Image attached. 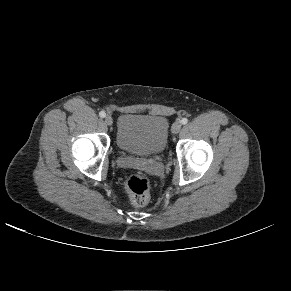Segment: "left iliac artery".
Listing matches in <instances>:
<instances>
[{
  "mask_svg": "<svg viewBox=\"0 0 291 291\" xmlns=\"http://www.w3.org/2000/svg\"><path fill=\"white\" fill-rule=\"evenodd\" d=\"M181 123L183 125L187 124L188 123V119L187 118H182Z\"/></svg>",
  "mask_w": 291,
  "mask_h": 291,
  "instance_id": "obj_1",
  "label": "left iliac artery"
}]
</instances>
